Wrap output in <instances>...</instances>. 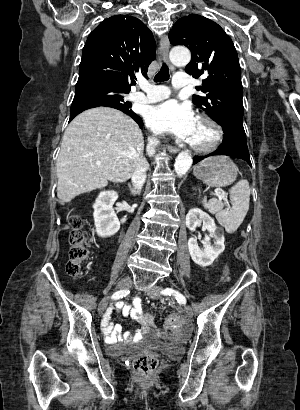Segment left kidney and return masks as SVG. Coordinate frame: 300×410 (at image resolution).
Instances as JSON below:
<instances>
[{"mask_svg":"<svg viewBox=\"0 0 300 410\" xmlns=\"http://www.w3.org/2000/svg\"><path fill=\"white\" fill-rule=\"evenodd\" d=\"M201 223L203 228L209 232L203 241L204 248L198 246L197 238L191 237L188 240V249L196 264L207 267L224 251V234L221 229L217 228L214 219L209 214L199 208L191 209L186 215V226L194 231ZM211 238L214 240L213 244L210 243Z\"/></svg>","mask_w":300,"mask_h":410,"instance_id":"obj_1","label":"left kidney"}]
</instances>
